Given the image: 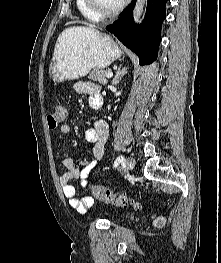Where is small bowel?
Listing matches in <instances>:
<instances>
[{"label": "small bowel", "instance_id": "obj_1", "mask_svg": "<svg viewBox=\"0 0 221 263\" xmlns=\"http://www.w3.org/2000/svg\"><path fill=\"white\" fill-rule=\"evenodd\" d=\"M74 90L78 94H85L89 98L91 107L102 103L99 85L91 82H77L74 84ZM59 132L68 134L71 130L67 123L59 126ZM108 136V124L103 120L94 122L92 128L86 131L85 137L87 142L91 145V152L93 156L92 161L81 162L76 165L72 158H63L59 163L66 168V171L59 177V184L61 186L63 195L68 199L69 205L80 213L86 212L94 205V199L91 196L77 197L76 189L70 184L71 180L77 179L83 188L87 186L88 176L93 168L97 165L104 154V145Z\"/></svg>", "mask_w": 221, "mask_h": 263}]
</instances>
